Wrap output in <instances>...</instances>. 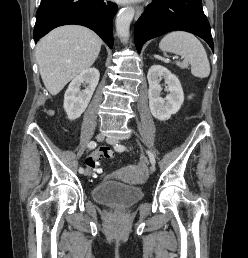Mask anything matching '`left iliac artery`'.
Returning <instances> with one entry per match:
<instances>
[{"mask_svg":"<svg viewBox=\"0 0 248 258\" xmlns=\"http://www.w3.org/2000/svg\"><path fill=\"white\" fill-rule=\"evenodd\" d=\"M114 148L118 152H123L124 150H126V147L124 145H121V144H116ZM148 156H149L151 164L155 165V157H154V155L151 152L148 151Z\"/></svg>","mask_w":248,"mask_h":258,"instance_id":"left-iliac-artery-1","label":"left iliac artery"}]
</instances>
